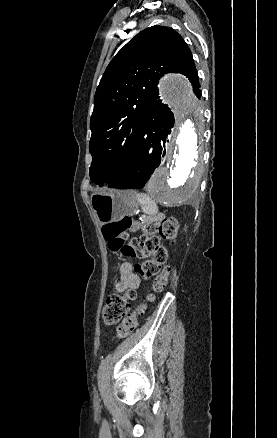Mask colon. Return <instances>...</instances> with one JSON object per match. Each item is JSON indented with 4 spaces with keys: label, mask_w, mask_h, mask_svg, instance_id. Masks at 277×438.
I'll return each mask as SVG.
<instances>
[{
    "label": "colon",
    "mask_w": 277,
    "mask_h": 438,
    "mask_svg": "<svg viewBox=\"0 0 277 438\" xmlns=\"http://www.w3.org/2000/svg\"><path fill=\"white\" fill-rule=\"evenodd\" d=\"M177 228L178 223L173 218L160 221L146 219L136 222L130 216L125 215L118 221L104 225L103 234L112 251L120 252L128 257L151 258L138 263L135 270L143 279L154 277L153 292L158 293L165 288L170 271L168 250L160 243V239L174 241L177 237ZM130 231L142 232V235L128 242L126 236ZM134 297V290L129 289L124 294L111 295L104 305L103 318L106 325H114L123 320L117 329L119 339L132 334L139 317L146 309L145 303H141L129 314L130 300ZM152 299L153 294L147 296L146 301Z\"/></svg>",
    "instance_id": "colon-1"
}]
</instances>
